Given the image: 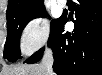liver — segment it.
<instances>
[{"label": "liver", "mask_w": 102, "mask_h": 75, "mask_svg": "<svg viewBox=\"0 0 102 75\" xmlns=\"http://www.w3.org/2000/svg\"><path fill=\"white\" fill-rule=\"evenodd\" d=\"M1 75H49L46 68L40 64L19 65L5 68L1 71Z\"/></svg>", "instance_id": "liver-1"}]
</instances>
